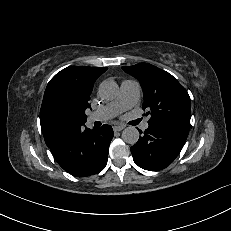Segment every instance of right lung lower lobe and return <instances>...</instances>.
I'll return each mask as SVG.
<instances>
[{
  "label": "right lung lower lobe",
  "mask_w": 231,
  "mask_h": 231,
  "mask_svg": "<svg viewBox=\"0 0 231 231\" xmlns=\"http://www.w3.org/2000/svg\"><path fill=\"white\" fill-rule=\"evenodd\" d=\"M83 125L73 127L61 144L50 148L58 164L77 177L96 174L106 166L109 144L113 138L110 125L93 130L84 129Z\"/></svg>",
  "instance_id": "right-lung-lower-lobe-1"
}]
</instances>
